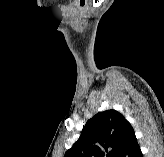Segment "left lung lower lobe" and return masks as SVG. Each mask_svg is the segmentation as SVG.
<instances>
[{
	"instance_id": "left-lung-lower-lobe-1",
	"label": "left lung lower lobe",
	"mask_w": 164,
	"mask_h": 157,
	"mask_svg": "<svg viewBox=\"0 0 164 157\" xmlns=\"http://www.w3.org/2000/svg\"><path fill=\"white\" fill-rule=\"evenodd\" d=\"M118 157H143L135 134L126 143Z\"/></svg>"
}]
</instances>
